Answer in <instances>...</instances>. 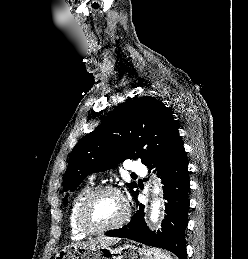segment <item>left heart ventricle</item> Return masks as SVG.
<instances>
[{
    "mask_svg": "<svg viewBox=\"0 0 248 259\" xmlns=\"http://www.w3.org/2000/svg\"><path fill=\"white\" fill-rule=\"evenodd\" d=\"M124 213L121 198L114 193H104L98 196L89 209V220L95 226L114 223Z\"/></svg>",
    "mask_w": 248,
    "mask_h": 259,
    "instance_id": "left-heart-ventricle-1",
    "label": "left heart ventricle"
}]
</instances>
